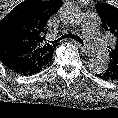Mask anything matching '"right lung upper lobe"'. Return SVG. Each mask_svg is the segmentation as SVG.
Returning a JSON list of instances; mask_svg holds the SVG:
<instances>
[{
    "label": "right lung upper lobe",
    "mask_w": 118,
    "mask_h": 118,
    "mask_svg": "<svg viewBox=\"0 0 118 118\" xmlns=\"http://www.w3.org/2000/svg\"><path fill=\"white\" fill-rule=\"evenodd\" d=\"M60 0H26L0 21V60L12 71H41L49 66L55 46L46 42L47 21Z\"/></svg>",
    "instance_id": "1"
}]
</instances>
